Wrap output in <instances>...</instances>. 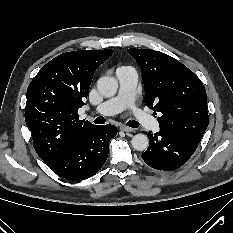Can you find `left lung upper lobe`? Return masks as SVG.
<instances>
[{"mask_svg":"<svg viewBox=\"0 0 233 233\" xmlns=\"http://www.w3.org/2000/svg\"><path fill=\"white\" fill-rule=\"evenodd\" d=\"M139 64L147 105L160 128L202 138L208 123L207 96L200 79L171 56L149 49H128Z\"/></svg>","mask_w":233,"mask_h":233,"instance_id":"1","label":"left lung upper lobe"}]
</instances>
